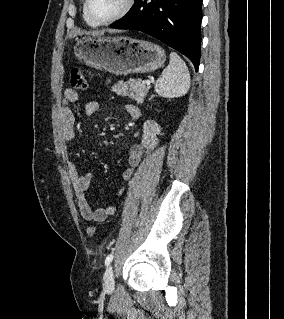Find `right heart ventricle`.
I'll return each instance as SVG.
<instances>
[{"label":"right heart ventricle","mask_w":284,"mask_h":319,"mask_svg":"<svg viewBox=\"0 0 284 319\" xmlns=\"http://www.w3.org/2000/svg\"><path fill=\"white\" fill-rule=\"evenodd\" d=\"M83 19H84L85 23H86L87 25H89L90 27H96V25L92 24V23L86 18L85 14H84V11H83Z\"/></svg>","instance_id":"e07e8e85"}]
</instances>
